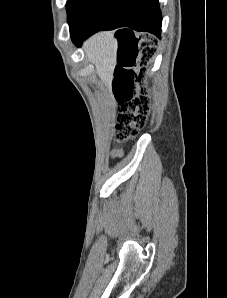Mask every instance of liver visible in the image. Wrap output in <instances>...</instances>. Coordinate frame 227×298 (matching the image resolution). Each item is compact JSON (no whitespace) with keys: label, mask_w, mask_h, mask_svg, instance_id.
I'll use <instances>...</instances> for the list:
<instances>
[{"label":"liver","mask_w":227,"mask_h":298,"mask_svg":"<svg viewBox=\"0 0 227 298\" xmlns=\"http://www.w3.org/2000/svg\"><path fill=\"white\" fill-rule=\"evenodd\" d=\"M117 40L111 32H99L84 44L85 54L95 65L96 73L108 88L117 63Z\"/></svg>","instance_id":"1"}]
</instances>
